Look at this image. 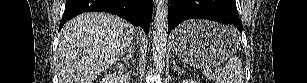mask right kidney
Returning <instances> with one entry per match:
<instances>
[{
    "label": "right kidney",
    "mask_w": 307,
    "mask_h": 83,
    "mask_svg": "<svg viewBox=\"0 0 307 83\" xmlns=\"http://www.w3.org/2000/svg\"><path fill=\"white\" fill-rule=\"evenodd\" d=\"M131 80V77L129 74L120 75L116 73H109L102 78L101 83H129Z\"/></svg>",
    "instance_id": "1"
}]
</instances>
